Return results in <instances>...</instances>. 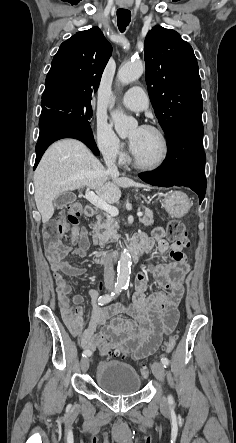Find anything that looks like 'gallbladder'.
I'll list each match as a JSON object with an SVG mask.
<instances>
[{
    "mask_svg": "<svg viewBox=\"0 0 236 443\" xmlns=\"http://www.w3.org/2000/svg\"><path fill=\"white\" fill-rule=\"evenodd\" d=\"M74 201H76V195L71 191H67L59 194L54 199L53 203L56 208H62L70 203H73Z\"/></svg>",
    "mask_w": 236,
    "mask_h": 443,
    "instance_id": "1",
    "label": "gallbladder"
}]
</instances>
